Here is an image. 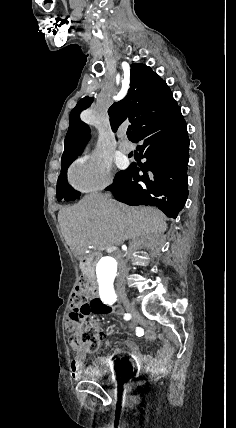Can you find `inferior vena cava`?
<instances>
[{"mask_svg": "<svg viewBox=\"0 0 236 428\" xmlns=\"http://www.w3.org/2000/svg\"><path fill=\"white\" fill-rule=\"evenodd\" d=\"M106 198H111V194H107V196H106ZM113 241H111L110 242V247H111V250H112V253H111V256L112 257H115V259H116V261L118 262V264H119V270H120V276H118V282H117V287H116V290H117V292H116V295H117V297H119V298H123L125 295H126V292L124 291L125 290V285H126V282H125V273H126V262L124 261L125 259L122 257L123 256V253L121 252V251H119V250H117V242L116 241H118V236H113Z\"/></svg>", "mask_w": 236, "mask_h": 428, "instance_id": "602c4592", "label": "inferior vena cava"}]
</instances>
